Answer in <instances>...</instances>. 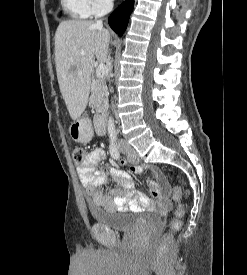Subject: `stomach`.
I'll return each instance as SVG.
<instances>
[{
  "label": "stomach",
  "mask_w": 247,
  "mask_h": 275,
  "mask_svg": "<svg viewBox=\"0 0 247 275\" xmlns=\"http://www.w3.org/2000/svg\"><path fill=\"white\" fill-rule=\"evenodd\" d=\"M71 137L76 142H87L91 139V130L88 125L81 121H74L70 129Z\"/></svg>",
  "instance_id": "0dacf381"
}]
</instances>
